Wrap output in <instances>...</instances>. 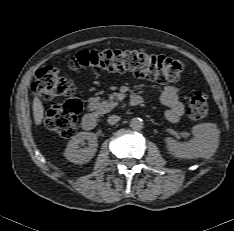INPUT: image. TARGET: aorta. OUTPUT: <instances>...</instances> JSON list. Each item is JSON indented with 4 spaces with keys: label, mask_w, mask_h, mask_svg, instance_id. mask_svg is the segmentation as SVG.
<instances>
[{
    "label": "aorta",
    "mask_w": 234,
    "mask_h": 231,
    "mask_svg": "<svg viewBox=\"0 0 234 231\" xmlns=\"http://www.w3.org/2000/svg\"><path fill=\"white\" fill-rule=\"evenodd\" d=\"M144 126V122L141 118H133L131 119L130 121V127L133 129V130H141Z\"/></svg>",
    "instance_id": "762f6f07"
}]
</instances>
